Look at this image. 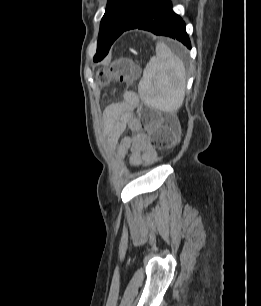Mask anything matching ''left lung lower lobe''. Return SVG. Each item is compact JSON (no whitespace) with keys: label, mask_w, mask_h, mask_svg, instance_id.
<instances>
[{"label":"left lung lower lobe","mask_w":261,"mask_h":306,"mask_svg":"<svg viewBox=\"0 0 261 306\" xmlns=\"http://www.w3.org/2000/svg\"><path fill=\"white\" fill-rule=\"evenodd\" d=\"M143 29L169 36L191 48L183 20L173 12L169 0H145L124 31Z\"/></svg>","instance_id":"obj_1"}]
</instances>
